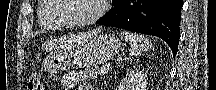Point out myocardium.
<instances>
[{
  "mask_svg": "<svg viewBox=\"0 0 216 90\" xmlns=\"http://www.w3.org/2000/svg\"><path fill=\"white\" fill-rule=\"evenodd\" d=\"M51 3H55L56 8H54V11H52V13L48 14V21L52 24H54L55 26L62 28V29H76V28H82L85 26H88L90 24H93L94 22H96L97 20H99L106 12L107 7L105 5V3L108 2V0H95L97 1V3H100L99 5V9L98 11L92 15L91 17L80 21L77 24H69V23H65L58 18V15H61V12H64V9H67V3L64 2V0H50Z\"/></svg>",
  "mask_w": 216,
  "mask_h": 90,
  "instance_id": "f54148a6",
  "label": "myocardium"
}]
</instances>
